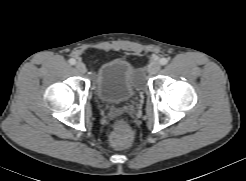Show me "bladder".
Returning <instances> with one entry per match:
<instances>
[{
  "label": "bladder",
  "mask_w": 246,
  "mask_h": 181,
  "mask_svg": "<svg viewBox=\"0 0 246 181\" xmlns=\"http://www.w3.org/2000/svg\"><path fill=\"white\" fill-rule=\"evenodd\" d=\"M139 85V71L122 58L111 59L103 63L95 77L97 96L108 104L130 101L138 91Z\"/></svg>",
  "instance_id": "1"
}]
</instances>
